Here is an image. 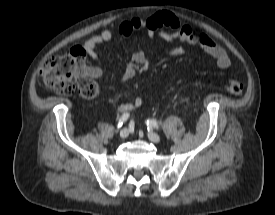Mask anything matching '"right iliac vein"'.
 Returning a JSON list of instances; mask_svg holds the SVG:
<instances>
[{"instance_id": "63e3f726", "label": "right iliac vein", "mask_w": 275, "mask_h": 215, "mask_svg": "<svg viewBox=\"0 0 275 215\" xmlns=\"http://www.w3.org/2000/svg\"><path fill=\"white\" fill-rule=\"evenodd\" d=\"M128 135H129V130L127 128L122 129L119 134L120 138L122 139L127 138Z\"/></svg>"}]
</instances>
